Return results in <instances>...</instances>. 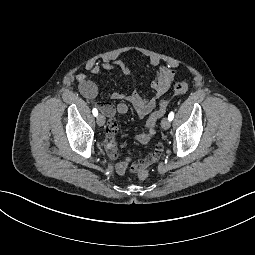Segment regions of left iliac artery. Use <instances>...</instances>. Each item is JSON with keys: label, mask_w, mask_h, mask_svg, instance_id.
<instances>
[{"label": "left iliac artery", "mask_w": 255, "mask_h": 255, "mask_svg": "<svg viewBox=\"0 0 255 255\" xmlns=\"http://www.w3.org/2000/svg\"><path fill=\"white\" fill-rule=\"evenodd\" d=\"M174 118V113L170 112V114L168 115V119L171 121Z\"/></svg>", "instance_id": "44dca946"}]
</instances>
